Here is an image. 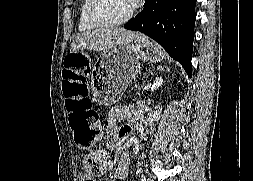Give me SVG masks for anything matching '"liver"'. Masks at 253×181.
<instances>
[{"mask_svg":"<svg viewBox=\"0 0 253 181\" xmlns=\"http://www.w3.org/2000/svg\"><path fill=\"white\" fill-rule=\"evenodd\" d=\"M138 32L126 30L124 28H100L78 34L72 41L70 53L79 50L106 51L116 45L131 43Z\"/></svg>","mask_w":253,"mask_h":181,"instance_id":"1","label":"liver"}]
</instances>
